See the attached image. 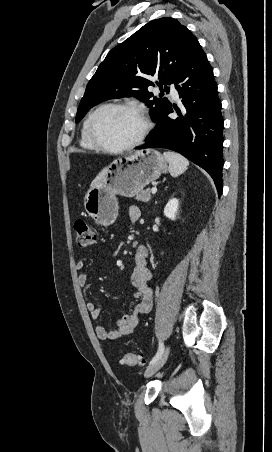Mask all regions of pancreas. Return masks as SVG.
I'll list each match as a JSON object with an SVG mask.
<instances>
[{
	"mask_svg": "<svg viewBox=\"0 0 272 452\" xmlns=\"http://www.w3.org/2000/svg\"><path fill=\"white\" fill-rule=\"evenodd\" d=\"M135 199L142 202H149L151 200V190L148 188L141 191L136 195Z\"/></svg>",
	"mask_w": 272,
	"mask_h": 452,
	"instance_id": "obj_1",
	"label": "pancreas"
}]
</instances>
